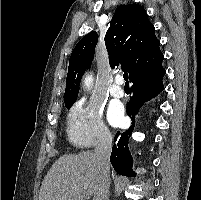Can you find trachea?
Listing matches in <instances>:
<instances>
[{"label":"trachea","instance_id":"3493384b","mask_svg":"<svg viewBox=\"0 0 201 200\" xmlns=\"http://www.w3.org/2000/svg\"><path fill=\"white\" fill-rule=\"evenodd\" d=\"M123 78L125 80V86H129V82H128V73H124L123 74Z\"/></svg>","mask_w":201,"mask_h":200}]
</instances>
